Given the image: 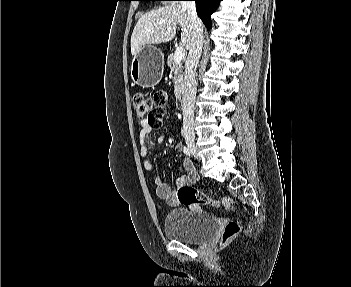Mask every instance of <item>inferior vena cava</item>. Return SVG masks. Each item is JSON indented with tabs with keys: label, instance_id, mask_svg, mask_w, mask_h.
Segmentation results:
<instances>
[{
	"label": "inferior vena cava",
	"instance_id": "602c4592",
	"mask_svg": "<svg viewBox=\"0 0 351 287\" xmlns=\"http://www.w3.org/2000/svg\"><path fill=\"white\" fill-rule=\"evenodd\" d=\"M182 7L187 9L192 27V39L184 72L183 103V128L182 135L185 139H195L194 133V107L196 97L195 71L199 63L203 47V27L197 16L195 1H182Z\"/></svg>",
	"mask_w": 351,
	"mask_h": 287
}]
</instances>
